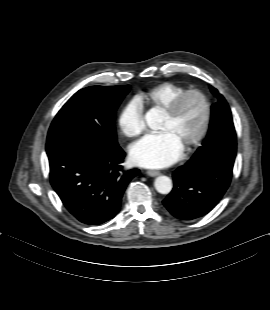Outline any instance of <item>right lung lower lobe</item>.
I'll list each match as a JSON object with an SVG mask.
<instances>
[{"label":"right lung lower lobe","instance_id":"right-lung-lower-lobe-1","mask_svg":"<svg viewBox=\"0 0 270 310\" xmlns=\"http://www.w3.org/2000/svg\"><path fill=\"white\" fill-rule=\"evenodd\" d=\"M51 185L80 222L100 225L119 212L122 195L138 169L124 171V151L87 142H49Z\"/></svg>","mask_w":270,"mask_h":310}]
</instances>
